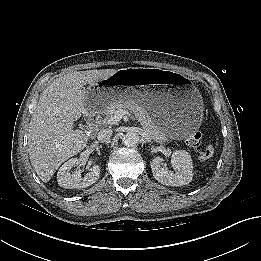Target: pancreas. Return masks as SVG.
Segmentation results:
<instances>
[{
	"instance_id": "pancreas-1",
	"label": "pancreas",
	"mask_w": 261,
	"mask_h": 261,
	"mask_svg": "<svg viewBox=\"0 0 261 261\" xmlns=\"http://www.w3.org/2000/svg\"><path fill=\"white\" fill-rule=\"evenodd\" d=\"M130 110L141 122L143 128L149 133L152 140L157 143H163L167 140L166 135L160 130V128L151 120V117L146 112L143 106L136 103L134 100L130 101H114L104 110L105 119L103 121L104 125H113L109 120L114 115V113L119 110Z\"/></svg>"
}]
</instances>
